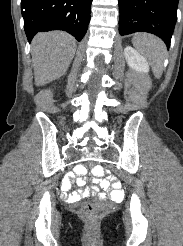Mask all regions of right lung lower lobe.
<instances>
[{"label": "right lung lower lobe", "instance_id": "right-lung-lower-lobe-1", "mask_svg": "<svg viewBox=\"0 0 183 246\" xmlns=\"http://www.w3.org/2000/svg\"><path fill=\"white\" fill-rule=\"evenodd\" d=\"M92 0H21L28 41L41 31L62 30L81 41L90 22Z\"/></svg>", "mask_w": 183, "mask_h": 246}]
</instances>
